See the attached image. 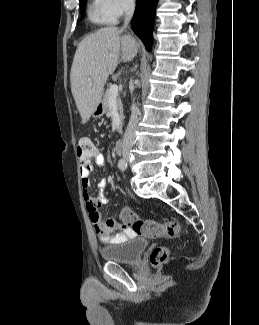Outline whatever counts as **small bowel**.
Wrapping results in <instances>:
<instances>
[{"label": "small bowel", "instance_id": "obj_1", "mask_svg": "<svg viewBox=\"0 0 259 325\" xmlns=\"http://www.w3.org/2000/svg\"><path fill=\"white\" fill-rule=\"evenodd\" d=\"M94 163L99 167L106 165L105 157L97 149L93 156L87 160H81L80 176L83 188V197L89 219L99 240L104 244H118L127 241L135 236V232L124 224L120 225L113 219H104L100 213V207L108 202L107 185L108 179L102 178L99 183V194H90L91 174L94 170ZM121 213V212H120Z\"/></svg>", "mask_w": 259, "mask_h": 325}]
</instances>
